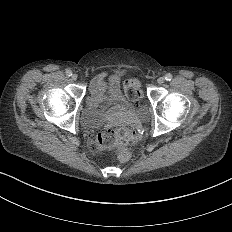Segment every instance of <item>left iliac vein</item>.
<instances>
[{"label":"left iliac vein","mask_w":232,"mask_h":232,"mask_svg":"<svg viewBox=\"0 0 232 232\" xmlns=\"http://www.w3.org/2000/svg\"><path fill=\"white\" fill-rule=\"evenodd\" d=\"M158 83L159 84H164L165 83V78L164 77H159L158 78Z\"/></svg>","instance_id":"obj_1"}]
</instances>
